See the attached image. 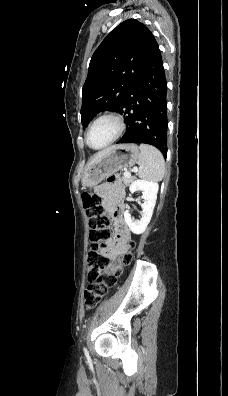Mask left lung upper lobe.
Instances as JSON below:
<instances>
[{
	"instance_id": "1",
	"label": "left lung upper lobe",
	"mask_w": 228,
	"mask_h": 396,
	"mask_svg": "<svg viewBox=\"0 0 228 396\" xmlns=\"http://www.w3.org/2000/svg\"><path fill=\"white\" fill-rule=\"evenodd\" d=\"M155 43L136 19L122 22L105 37L91 58L82 90L83 126L101 111H119Z\"/></svg>"
}]
</instances>
